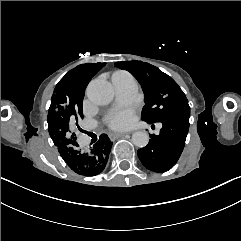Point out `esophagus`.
<instances>
[{
	"mask_svg": "<svg viewBox=\"0 0 241 241\" xmlns=\"http://www.w3.org/2000/svg\"><path fill=\"white\" fill-rule=\"evenodd\" d=\"M123 136H125V133H110L109 134V138L113 141L120 137H123Z\"/></svg>",
	"mask_w": 241,
	"mask_h": 241,
	"instance_id": "34e87169",
	"label": "esophagus"
}]
</instances>
